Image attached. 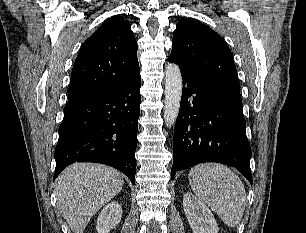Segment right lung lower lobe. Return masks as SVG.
<instances>
[{"label": "right lung lower lobe", "mask_w": 306, "mask_h": 233, "mask_svg": "<svg viewBox=\"0 0 306 233\" xmlns=\"http://www.w3.org/2000/svg\"><path fill=\"white\" fill-rule=\"evenodd\" d=\"M140 70L119 88L66 105L55 148V179L74 162L112 166L135 182Z\"/></svg>", "instance_id": "right-lung-lower-lobe-1"}]
</instances>
